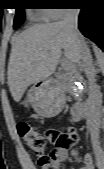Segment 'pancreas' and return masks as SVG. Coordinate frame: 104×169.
I'll return each instance as SVG.
<instances>
[{"instance_id":"obj_1","label":"pancreas","mask_w":104,"mask_h":169,"mask_svg":"<svg viewBox=\"0 0 104 169\" xmlns=\"http://www.w3.org/2000/svg\"><path fill=\"white\" fill-rule=\"evenodd\" d=\"M72 71V70H71ZM71 74H73L72 72L70 71H65L61 74L60 76V79L62 80L63 83H67V82H70L72 79H71ZM74 74H78V72H74ZM82 100L81 97L77 98V102L79 103L80 101Z\"/></svg>"}]
</instances>
